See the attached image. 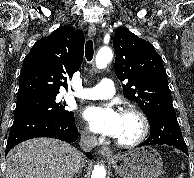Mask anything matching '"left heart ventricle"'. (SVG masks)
Returning <instances> with one entry per match:
<instances>
[{
  "mask_svg": "<svg viewBox=\"0 0 194 178\" xmlns=\"http://www.w3.org/2000/svg\"><path fill=\"white\" fill-rule=\"evenodd\" d=\"M140 132V123L133 115L121 114V128L116 136L120 140L134 139Z\"/></svg>",
  "mask_w": 194,
  "mask_h": 178,
  "instance_id": "left-heart-ventricle-1",
  "label": "left heart ventricle"
}]
</instances>
